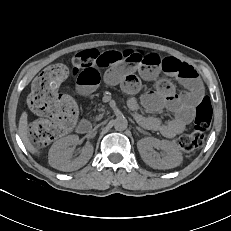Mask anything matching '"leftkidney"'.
Instances as JSON below:
<instances>
[{"label": "left kidney", "mask_w": 231, "mask_h": 231, "mask_svg": "<svg viewBox=\"0 0 231 231\" xmlns=\"http://www.w3.org/2000/svg\"><path fill=\"white\" fill-rule=\"evenodd\" d=\"M137 148L143 161L154 169L175 168L183 159L178 148L168 140L145 137L137 142ZM154 148L162 150L165 155L160 158Z\"/></svg>", "instance_id": "left-kidney-1"}]
</instances>
